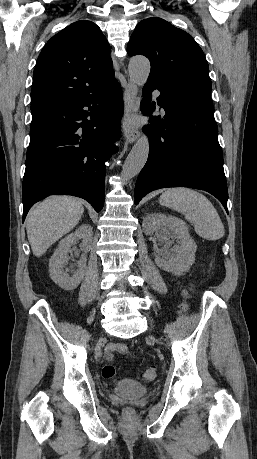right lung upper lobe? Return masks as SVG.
<instances>
[{
    "instance_id": "cb5924a9",
    "label": "right lung upper lobe",
    "mask_w": 257,
    "mask_h": 459,
    "mask_svg": "<svg viewBox=\"0 0 257 459\" xmlns=\"http://www.w3.org/2000/svg\"><path fill=\"white\" fill-rule=\"evenodd\" d=\"M113 82L110 45L91 21H77L42 49L33 73L31 112L83 99Z\"/></svg>"
}]
</instances>
